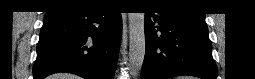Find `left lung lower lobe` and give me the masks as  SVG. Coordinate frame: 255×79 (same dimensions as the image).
<instances>
[{
  "mask_svg": "<svg viewBox=\"0 0 255 79\" xmlns=\"http://www.w3.org/2000/svg\"><path fill=\"white\" fill-rule=\"evenodd\" d=\"M146 52L141 79L191 75L216 79L204 14L171 7L145 14Z\"/></svg>",
  "mask_w": 255,
  "mask_h": 79,
  "instance_id": "1",
  "label": "left lung lower lobe"
}]
</instances>
